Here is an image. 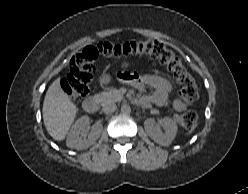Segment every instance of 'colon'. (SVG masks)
Segmentation results:
<instances>
[{
  "mask_svg": "<svg viewBox=\"0 0 248 194\" xmlns=\"http://www.w3.org/2000/svg\"><path fill=\"white\" fill-rule=\"evenodd\" d=\"M99 55L110 58L151 56L176 78L180 86V95L187 104H194L199 97L198 86L180 58L163 43L147 39L118 44L99 42L75 54L70 60L69 73L62 80V88L71 101L79 102L88 95L94 78L95 60ZM121 76L128 80L130 73H123ZM196 118L195 112L188 111L180 114L177 121L182 128L191 129Z\"/></svg>",
  "mask_w": 248,
  "mask_h": 194,
  "instance_id": "5ec220e1",
  "label": "colon"
}]
</instances>
